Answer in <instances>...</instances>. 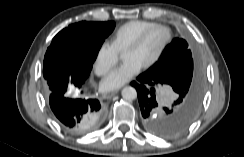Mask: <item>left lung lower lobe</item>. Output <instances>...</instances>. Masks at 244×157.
Instances as JSON below:
<instances>
[{"label":"left lung lower lobe","instance_id":"left-lung-lower-lobe-1","mask_svg":"<svg viewBox=\"0 0 244 157\" xmlns=\"http://www.w3.org/2000/svg\"><path fill=\"white\" fill-rule=\"evenodd\" d=\"M137 90L138 101L145 128L164 138L181 135L195 120L201 105L202 91L191 97L183 93L176 95V100L162 107L159 93L166 85L158 75L144 72L131 83Z\"/></svg>","mask_w":244,"mask_h":157}]
</instances>
